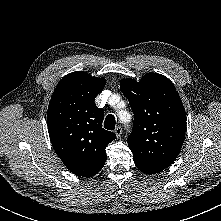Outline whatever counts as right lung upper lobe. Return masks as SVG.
I'll use <instances>...</instances> for the list:
<instances>
[{"instance_id": "1", "label": "right lung upper lobe", "mask_w": 221, "mask_h": 221, "mask_svg": "<svg viewBox=\"0 0 221 221\" xmlns=\"http://www.w3.org/2000/svg\"><path fill=\"white\" fill-rule=\"evenodd\" d=\"M104 78L77 71L64 76L49 103L47 125L53 148L75 175L92 177L105 164L113 132L102 128L104 110L95 97L105 87Z\"/></svg>"}]
</instances>
